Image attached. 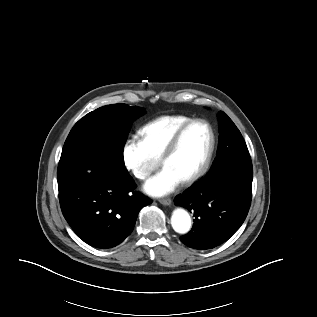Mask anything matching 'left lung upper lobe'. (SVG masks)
Wrapping results in <instances>:
<instances>
[{
    "label": "left lung upper lobe",
    "instance_id": "5c2ea615",
    "mask_svg": "<svg viewBox=\"0 0 317 317\" xmlns=\"http://www.w3.org/2000/svg\"><path fill=\"white\" fill-rule=\"evenodd\" d=\"M218 115L220 135L217 157L207 177H216L231 167L252 168L250 154L240 131L224 112L220 111Z\"/></svg>",
    "mask_w": 317,
    "mask_h": 317
}]
</instances>
